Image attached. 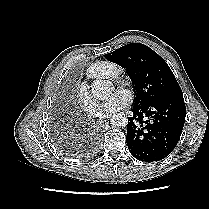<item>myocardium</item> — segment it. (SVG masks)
I'll list each match as a JSON object with an SVG mask.
<instances>
[{"label":"myocardium","mask_w":209,"mask_h":209,"mask_svg":"<svg viewBox=\"0 0 209 209\" xmlns=\"http://www.w3.org/2000/svg\"><path fill=\"white\" fill-rule=\"evenodd\" d=\"M111 81L115 85L121 86V87H127L131 83L130 77L128 75H126V74H116L115 76H113L111 78Z\"/></svg>","instance_id":"myocardium-1"}]
</instances>
